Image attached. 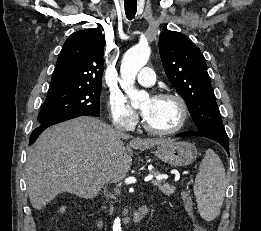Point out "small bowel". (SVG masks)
Masks as SVG:
<instances>
[{"instance_id": "1", "label": "small bowel", "mask_w": 261, "mask_h": 231, "mask_svg": "<svg viewBox=\"0 0 261 231\" xmlns=\"http://www.w3.org/2000/svg\"><path fill=\"white\" fill-rule=\"evenodd\" d=\"M183 199L184 201L187 203L188 201H190V197L189 194L187 192H183Z\"/></svg>"}]
</instances>
